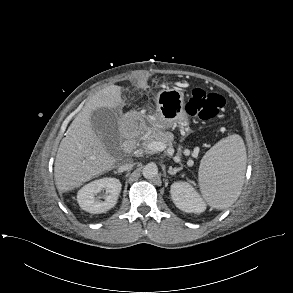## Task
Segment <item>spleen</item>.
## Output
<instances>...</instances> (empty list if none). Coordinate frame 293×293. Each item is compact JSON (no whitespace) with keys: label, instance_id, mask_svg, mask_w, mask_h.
Listing matches in <instances>:
<instances>
[{"label":"spleen","instance_id":"spleen-1","mask_svg":"<svg viewBox=\"0 0 293 293\" xmlns=\"http://www.w3.org/2000/svg\"><path fill=\"white\" fill-rule=\"evenodd\" d=\"M246 147L238 134L217 142L203 156L198 173L199 186L206 202L225 209L239 197L246 169Z\"/></svg>","mask_w":293,"mask_h":293}]
</instances>
